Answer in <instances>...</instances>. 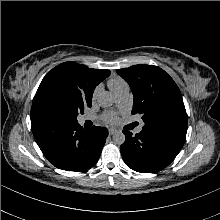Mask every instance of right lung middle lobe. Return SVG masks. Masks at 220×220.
<instances>
[{
	"instance_id": "1",
	"label": "right lung middle lobe",
	"mask_w": 220,
	"mask_h": 220,
	"mask_svg": "<svg viewBox=\"0 0 220 220\" xmlns=\"http://www.w3.org/2000/svg\"><path fill=\"white\" fill-rule=\"evenodd\" d=\"M91 99L77 87L71 76L53 74L45 82L41 109L54 122L73 124L78 114L91 106Z\"/></svg>"
}]
</instances>
